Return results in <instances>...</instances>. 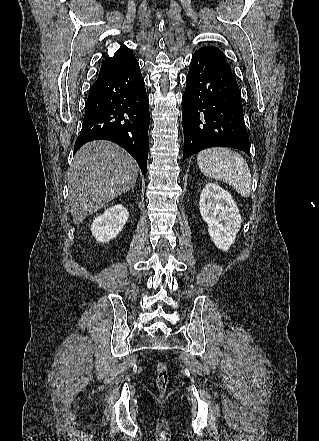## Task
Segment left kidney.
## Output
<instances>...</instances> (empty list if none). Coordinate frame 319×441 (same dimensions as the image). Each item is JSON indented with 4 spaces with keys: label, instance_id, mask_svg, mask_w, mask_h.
<instances>
[{
    "label": "left kidney",
    "instance_id": "left-kidney-1",
    "mask_svg": "<svg viewBox=\"0 0 319 441\" xmlns=\"http://www.w3.org/2000/svg\"><path fill=\"white\" fill-rule=\"evenodd\" d=\"M199 209L215 246L223 251L229 250L242 223L232 196L215 183H207L200 195Z\"/></svg>",
    "mask_w": 319,
    "mask_h": 441
}]
</instances>
